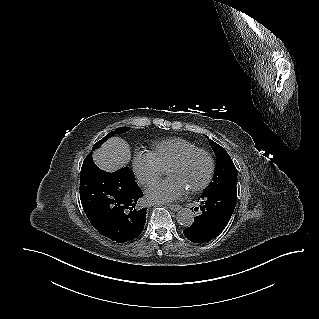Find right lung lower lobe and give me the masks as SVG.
Instances as JSON below:
<instances>
[{
	"label": "right lung lower lobe",
	"mask_w": 319,
	"mask_h": 319,
	"mask_svg": "<svg viewBox=\"0 0 319 319\" xmlns=\"http://www.w3.org/2000/svg\"><path fill=\"white\" fill-rule=\"evenodd\" d=\"M142 196L130 168L108 173L95 165L92 153L87 155L80 175L81 204L103 236L124 243L141 234L146 222V209L139 205Z\"/></svg>",
	"instance_id": "right-lung-lower-lobe-1"
}]
</instances>
